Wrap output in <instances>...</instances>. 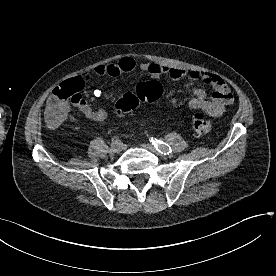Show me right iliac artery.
<instances>
[{"mask_svg": "<svg viewBox=\"0 0 276 276\" xmlns=\"http://www.w3.org/2000/svg\"><path fill=\"white\" fill-rule=\"evenodd\" d=\"M122 143L120 140L116 139V138H113L112 141H111V146H121Z\"/></svg>", "mask_w": 276, "mask_h": 276, "instance_id": "right-iliac-artery-1", "label": "right iliac artery"}]
</instances>
